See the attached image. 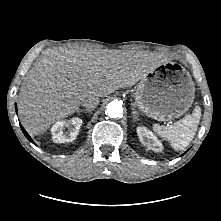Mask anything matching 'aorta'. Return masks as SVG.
Wrapping results in <instances>:
<instances>
[{"mask_svg": "<svg viewBox=\"0 0 221 221\" xmlns=\"http://www.w3.org/2000/svg\"><path fill=\"white\" fill-rule=\"evenodd\" d=\"M107 114L111 118H120L123 116L122 105L118 101H112L107 105Z\"/></svg>", "mask_w": 221, "mask_h": 221, "instance_id": "762f6f07", "label": "aorta"}]
</instances>
